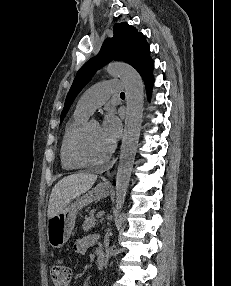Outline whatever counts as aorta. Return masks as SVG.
Listing matches in <instances>:
<instances>
[{"instance_id":"762f6f07","label":"aorta","mask_w":231,"mask_h":286,"mask_svg":"<svg viewBox=\"0 0 231 286\" xmlns=\"http://www.w3.org/2000/svg\"><path fill=\"white\" fill-rule=\"evenodd\" d=\"M106 71L123 81L126 92V118L116 175L117 212L125 201L138 147L144 110V84L139 73L130 65L111 63Z\"/></svg>"}]
</instances>
